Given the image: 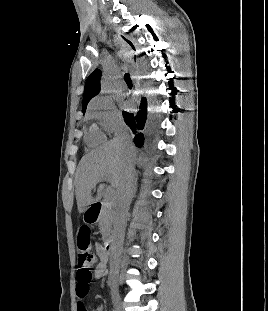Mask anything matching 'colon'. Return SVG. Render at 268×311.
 <instances>
[{
    "mask_svg": "<svg viewBox=\"0 0 268 311\" xmlns=\"http://www.w3.org/2000/svg\"><path fill=\"white\" fill-rule=\"evenodd\" d=\"M94 260L91 248L90 229L82 227L77 237V285L81 296H86L89 291V283L92 280V272L89 268Z\"/></svg>",
    "mask_w": 268,
    "mask_h": 311,
    "instance_id": "colon-1",
    "label": "colon"
}]
</instances>
